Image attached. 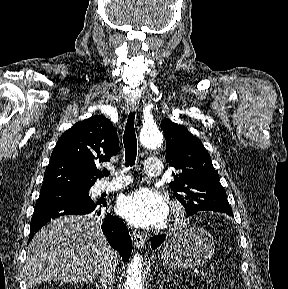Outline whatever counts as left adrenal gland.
Wrapping results in <instances>:
<instances>
[{
	"label": "left adrenal gland",
	"instance_id": "left-adrenal-gland-1",
	"mask_svg": "<svg viewBox=\"0 0 288 289\" xmlns=\"http://www.w3.org/2000/svg\"><path fill=\"white\" fill-rule=\"evenodd\" d=\"M171 279H172V277L170 275L167 276V275L163 274V281L162 282H164L166 280L170 281Z\"/></svg>",
	"mask_w": 288,
	"mask_h": 289
}]
</instances>
